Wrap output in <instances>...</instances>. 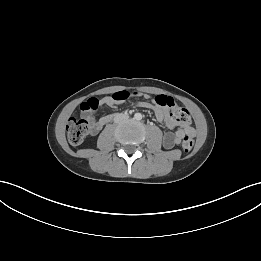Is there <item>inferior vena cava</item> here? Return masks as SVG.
<instances>
[{
	"instance_id": "602c4592",
	"label": "inferior vena cava",
	"mask_w": 261,
	"mask_h": 261,
	"mask_svg": "<svg viewBox=\"0 0 261 261\" xmlns=\"http://www.w3.org/2000/svg\"><path fill=\"white\" fill-rule=\"evenodd\" d=\"M127 118H128L127 115H121V116H120V119H122V120L127 119Z\"/></svg>"
}]
</instances>
